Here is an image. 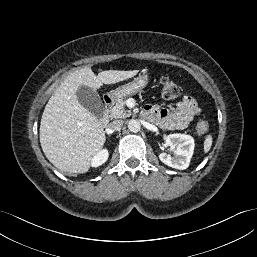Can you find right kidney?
I'll return each mask as SVG.
<instances>
[{"label": "right kidney", "instance_id": "ca27d5eb", "mask_svg": "<svg viewBox=\"0 0 257 257\" xmlns=\"http://www.w3.org/2000/svg\"><path fill=\"white\" fill-rule=\"evenodd\" d=\"M109 153L107 149H103L99 151L92 159L91 166L92 167H98L102 164H104L108 159Z\"/></svg>", "mask_w": 257, "mask_h": 257}]
</instances>
